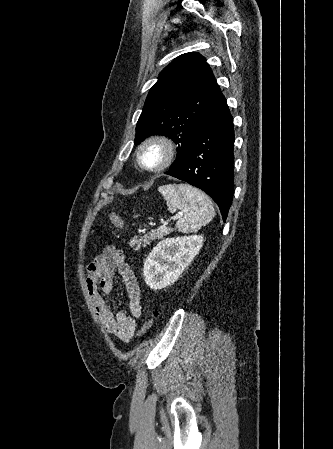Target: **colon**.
Listing matches in <instances>:
<instances>
[{"mask_svg": "<svg viewBox=\"0 0 333 449\" xmlns=\"http://www.w3.org/2000/svg\"><path fill=\"white\" fill-rule=\"evenodd\" d=\"M108 217L112 223V225L116 228V229H122L123 228V220L122 218L114 213V212H109L108 213ZM157 319V312L156 311H151L148 316L145 318L143 325L141 327L140 330V334L144 335L147 332H149V330L154 326L155 322Z\"/></svg>", "mask_w": 333, "mask_h": 449, "instance_id": "obj_1", "label": "colon"}]
</instances>
